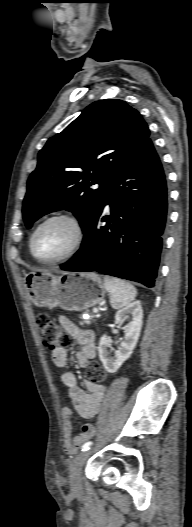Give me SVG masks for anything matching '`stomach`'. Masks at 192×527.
Returning a JSON list of instances; mask_svg holds the SVG:
<instances>
[{
	"instance_id": "0dacf381",
	"label": "stomach",
	"mask_w": 192,
	"mask_h": 527,
	"mask_svg": "<svg viewBox=\"0 0 192 527\" xmlns=\"http://www.w3.org/2000/svg\"><path fill=\"white\" fill-rule=\"evenodd\" d=\"M28 294L38 307L82 311L99 304L106 293L103 280L96 273L48 271L33 272L25 278Z\"/></svg>"
}]
</instances>
